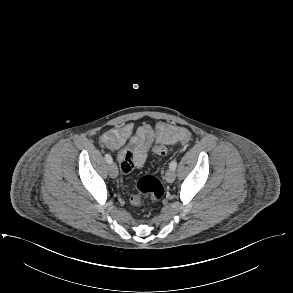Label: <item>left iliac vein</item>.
<instances>
[{
    "mask_svg": "<svg viewBox=\"0 0 293 293\" xmlns=\"http://www.w3.org/2000/svg\"><path fill=\"white\" fill-rule=\"evenodd\" d=\"M175 178H176V174L174 170L169 169L166 171L165 179L167 182L172 183L175 180Z\"/></svg>",
    "mask_w": 293,
    "mask_h": 293,
    "instance_id": "1",
    "label": "left iliac vein"
}]
</instances>
